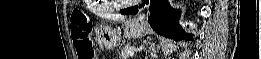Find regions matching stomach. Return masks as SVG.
I'll return each instance as SVG.
<instances>
[{
	"instance_id": "obj_1",
	"label": "stomach",
	"mask_w": 261,
	"mask_h": 59,
	"mask_svg": "<svg viewBox=\"0 0 261 59\" xmlns=\"http://www.w3.org/2000/svg\"><path fill=\"white\" fill-rule=\"evenodd\" d=\"M148 32L147 26L139 22L138 20H131L125 23V28L122 30L120 28H111L108 25L101 26L96 34L98 40L101 44L107 49L112 50L114 49L119 41L123 37L125 38H140L146 35Z\"/></svg>"
}]
</instances>
